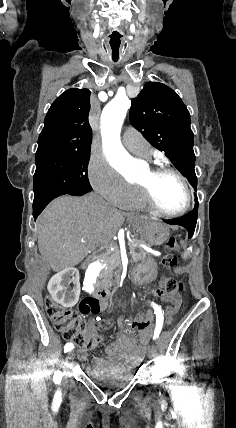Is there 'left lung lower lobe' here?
<instances>
[{
	"mask_svg": "<svg viewBox=\"0 0 236 428\" xmlns=\"http://www.w3.org/2000/svg\"><path fill=\"white\" fill-rule=\"evenodd\" d=\"M195 201V207L191 212L183 217L173 220H164V222L185 227L188 230L189 237H192L197 222V211L199 206L198 200L196 199Z\"/></svg>",
	"mask_w": 236,
	"mask_h": 428,
	"instance_id": "0a47b994",
	"label": "left lung lower lobe"
}]
</instances>
